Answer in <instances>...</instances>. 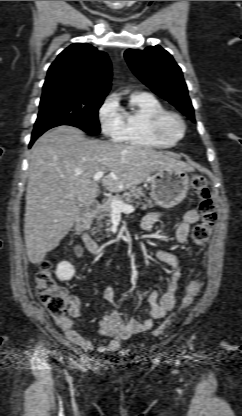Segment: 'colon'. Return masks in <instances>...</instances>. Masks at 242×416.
I'll return each instance as SVG.
<instances>
[{"instance_id":"obj_1","label":"colon","mask_w":242,"mask_h":416,"mask_svg":"<svg viewBox=\"0 0 242 416\" xmlns=\"http://www.w3.org/2000/svg\"><path fill=\"white\" fill-rule=\"evenodd\" d=\"M192 186L198 198V211L200 213V220L192 230V240L198 247L203 246L209 239L217 220V214L213 200L207 186V180L202 175H195L191 179ZM52 262L44 259L39 264V269L36 274L37 292L40 301L46 307L50 315L55 318L64 316L68 299L63 289L58 287L54 282L52 276ZM200 284L198 281H192L187 289L182 300V306H189L197 293L199 292ZM174 322V317L161 322L153 331L154 335H159Z\"/></svg>"}]
</instances>
